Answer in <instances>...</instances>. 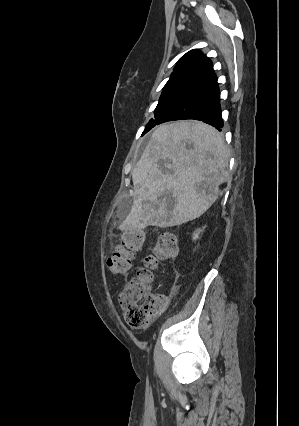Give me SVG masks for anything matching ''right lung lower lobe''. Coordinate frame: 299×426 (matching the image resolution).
Wrapping results in <instances>:
<instances>
[{
	"label": "right lung lower lobe",
	"instance_id": "98d812e1",
	"mask_svg": "<svg viewBox=\"0 0 299 426\" xmlns=\"http://www.w3.org/2000/svg\"><path fill=\"white\" fill-rule=\"evenodd\" d=\"M180 119L201 120L219 130L223 127L217 79L183 96L163 114L156 125Z\"/></svg>",
	"mask_w": 299,
	"mask_h": 426
}]
</instances>
